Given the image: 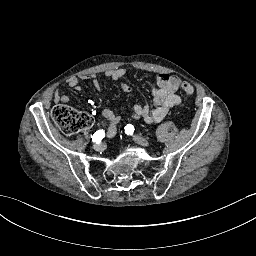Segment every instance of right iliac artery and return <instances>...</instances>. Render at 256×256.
<instances>
[{
  "mask_svg": "<svg viewBox=\"0 0 256 256\" xmlns=\"http://www.w3.org/2000/svg\"><path fill=\"white\" fill-rule=\"evenodd\" d=\"M104 136H105L104 130H98L95 132V134H93L91 138L93 142L100 143L101 140L104 138Z\"/></svg>",
  "mask_w": 256,
  "mask_h": 256,
  "instance_id": "obj_1",
  "label": "right iliac artery"
}]
</instances>
